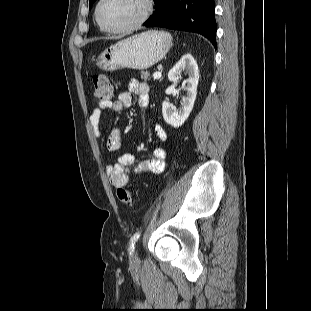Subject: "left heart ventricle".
I'll return each mask as SVG.
<instances>
[{"label": "left heart ventricle", "instance_id": "b2bd125f", "mask_svg": "<svg viewBox=\"0 0 311 311\" xmlns=\"http://www.w3.org/2000/svg\"><path fill=\"white\" fill-rule=\"evenodd\" d=\"M141 11L140 0H105L100 9V17L107 25L120 28L135 21Z\"/></svg>", "mask_w": 311, "mask_h": 311}]
</instances>
